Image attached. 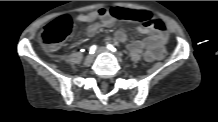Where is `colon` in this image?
I'll use <instances>...</instances> for the list:
<instances>
[{
  "label": "colon",
  "instance_id": "5ec220e1",
  "mask_svg": "<svg viewBox=\"0 0 218 122\" xmlns=\"http://www.w3.org/2000/svg\"><path fill=\"white\" fill-rule=\"evenodd\" d=\"M111 14L118 19L138 22L145 26L154 28H162L164 26L163 22L154 18L153 15L147 11L115 8L111 10ZM72 30L73 25L71 19L68 16H61L42 29L40 42L49 49H55L65 40ZM170 56L171 51L169 49L159 48L154 55V60L156 62H162Z\"/></svg>",
  "mask_w": 218,
  "mask_h": 122
}]
</instances>
